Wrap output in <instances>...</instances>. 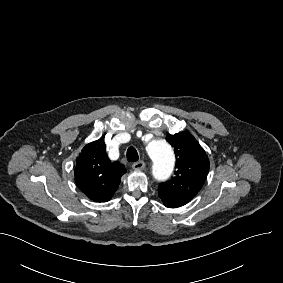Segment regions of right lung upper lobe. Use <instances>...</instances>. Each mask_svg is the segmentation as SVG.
Listing matches in <instances>:
<instances>
[{
  "label": "right lung upper lobe",
  "instance_id": "right-lung-upper-lobe-1",
  "mask_svg": "<svg viewBox=\"0 0 283 283\" xmlns=\"http://www.w3.org/2000/svg\"><path fill=\"white\" fill-rule=\"evenodd\" d=\"M124 173V165L108 159L103 138L82 149L74 170L75 182L79 189L96 202L111 199Z\"/></svg>",
  "mask_w": 283,
  "mask_h": 283
}]
</instances>
